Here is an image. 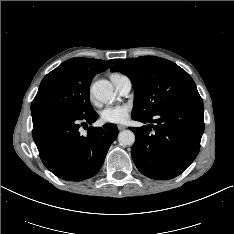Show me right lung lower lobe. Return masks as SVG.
Instances as JSON below:
<instances>
[{
    "label": "right lung lower lobe",
    "instance_id": "right-lung-lower-lobe-1",
    "mask_svg": "<svg viewBox=\"0 0 234 234\" xmlns=\"http://www.w3.org/2000/svg\"><path fill=\"white\" fill-rule=\"evenodd\" d=\"M33 138L43 164L57 177L82 181L94 176L104 163L111 143L118 135L116 125L89 126L87 135L80 126L95 122V111L74 114L64 109L43 107L31 110Z\"/></svg>",
    "mask_w": 234,
    "mask_h": 234
}]
</instances>
